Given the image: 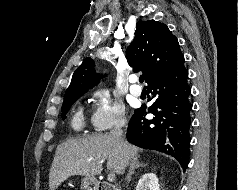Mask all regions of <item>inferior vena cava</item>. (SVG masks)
Masks as SVG:
<instances>
[{
  "mask_svg": "<svg viewBox=\"0 0 238 190\" xmlns=\"http://www.w3.org/2000/svg\"><path fill=\"white\" fill-rule=\"evenodd\" d=\"M126 124V121L123 119L121 121H119L115 128L111 131V135L112 137L116 140L117 144L121 147L122 143H123V138H122V127H124ZM124 158V157H123ZM124 162L125 158H124Z\"/></svg>",
  "mask_w": 238,
  "mask_h": 190,
  "instance_id": "602c4592",
  "label": "inferior vena cava"
}]
</instances>
